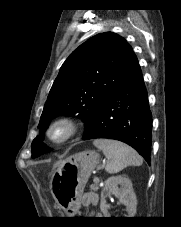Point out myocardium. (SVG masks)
<instances>
[{"label":"myocardium","instance_id":"myocardium-1","mask_svg":"<svg viewBox=\"0 0 181 227\" xmlns=\"http://www.w3.org/2000/svg\"><path fill=\"white\" fill-rule=\"evenodd\" d=\"M59 131L61 135L55 136V133ZM79 131V124L76 120L69 116H62L52 121L46 131V139L54 145H62L73 139Z\"/></svg>","mask_w":181,"mask_h":227}]
</instances>
